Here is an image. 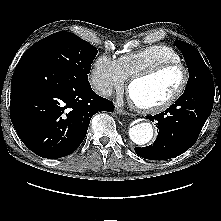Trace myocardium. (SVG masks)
<instances>
[{
  "label": "myocardium",
  "mask_w": 221,
  "mask_h": 221,
  "mask_svg": "<svg viewBox=\"0 0 221 221\" xmlns=\"http://www.w3.org/2000/svg\"><path fill=\"white\" fill-rule=\"evenodd\" d=\"M171 68H179L182 70V73H183L182 82H181L180 87L177 89V91L171 97H169L166 101L157 105H153V106L140 105L134 100H132V103L137 110L142 111L144 113H150V114L161 113L170 109L183 96L189 83V71H188V68L182 62H174V61L159 63L157 65L151 66L143 71H140L134 74L132 77H130L129 82H128V86H127L128 93L130 95V90L134 83L143 79L153 77L156 74L163 72L165 70L171 69Z\"/></svg>",
  "instance_id": "f54148a6"
}]
</instances>
